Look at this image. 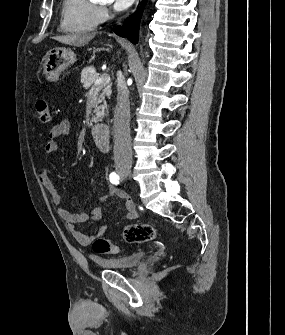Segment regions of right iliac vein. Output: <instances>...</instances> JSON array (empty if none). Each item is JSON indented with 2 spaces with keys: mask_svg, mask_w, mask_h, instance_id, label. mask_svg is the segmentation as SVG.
Instances as JSON below:
<instances>
[{
  "mask_svg": "<svg viewBox=\"0 0 285 335\" xmlns=\"http://www.w3.org/2000/svg\"><path fill=\"white\" fill-rule=\"evenodd\" d=\"M120 175L122 178L129 179L130 177H132V171L130 169H123L120 172Z\"/></svg>",
  "mask_w": 285,
  "mask_h": 335,
  "instance_id": "obj_1",
  "label": "right iliac vein"
}]
</instances>
